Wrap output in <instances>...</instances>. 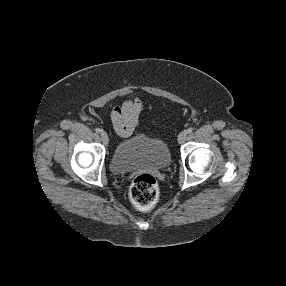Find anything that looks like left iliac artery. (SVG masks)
I'll return each mask as SVG.
<instances>
[{"mask_svg": "<svg viewBox=\"0 0 286 286\" xmlns=\"http://www.w3.org/2000/svg\"><path fill=\"white\" fill-rule=\"evenodd\" d=\"M192 131H193V128H188L187 129V133H192Z\"/></svg>", "mask_w": 286, "mask_h": 286, "instance_id": "left-iliac-artery-1", "label": "left iliac artery"}]
</instances>
